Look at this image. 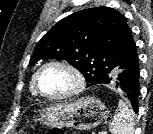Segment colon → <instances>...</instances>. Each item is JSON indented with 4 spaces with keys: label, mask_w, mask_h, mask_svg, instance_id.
I'll list each match as a JSON object with an SVG mask.
<instances>
[{
    "label": "colon",
    "mask_w": 153,
    "mask_h": 134,
    "mask_svg": "<svg viewBox=\"0 0 153 134\" xmlns=\"http://www.w3.org/2000/svg\"><path fill=\"white\" fill-rule=\"evenodd\" d=\"M53 134H65V132L62 129H54Z\"/></svg>",
    "instance_id": "colon-1"
}]
</instances>
